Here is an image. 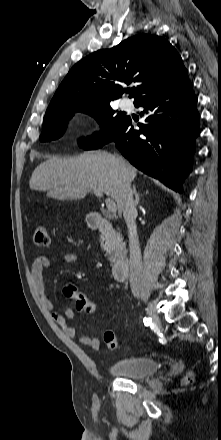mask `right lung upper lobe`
Segmentation results:
<instances>
[{
  "instance_id": "cb5924a9",
  "label": "right lung upper lobe",
  "mask_w": 221,
  "mask_h": 440,
  "mask_svg": "<svg viewBox=\"0 0 221 440\" xmlns=\"http://www.w3.org/2000/svg\"><path fill=\"white\" fill-rule=\"evenodd\" d=\"M187 79L180 55L165 39L140 34L111 49L98 50L76 63L53 96L47 111L70 105L97 107L122 96L121 84L137 82L134 104Z\"/></svg>"
}]
</instances>
